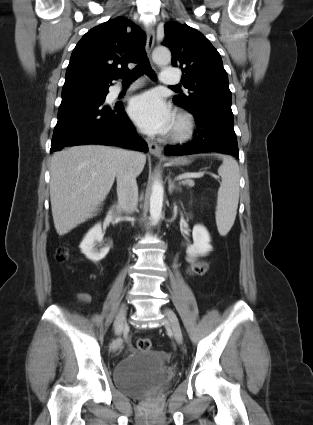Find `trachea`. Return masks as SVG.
Listing matches in <instances>:
<instances>
[{"label":"trachea","instance_id":"trachea-1","mask_svg":"<svg viewBox=\"0 0 313 425\" xmlns=\"http://www.w3.org/2000/svg\"><path fill=\"white\" fill-rule=\"evenodd\" d=\"M146 74L152 79L156 78V74L151 68L150 62L145 53H143L142 58L138 65L129 73L125 74L123 77L124 82H131L137 79L139 76ZM173 88H180L179 86H172Z\"/></svg>","mask_w":313,"mask_h":425}]
</instances>
